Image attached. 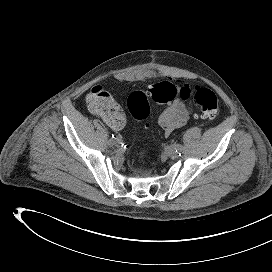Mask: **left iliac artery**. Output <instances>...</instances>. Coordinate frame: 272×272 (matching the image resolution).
<instances>
[{
    "label": "left iliac artery",
    "mask_w": 272,
    "mask_h": 272,
    "mask_svg": "<svg viewBox=\"0 0 272 272\" xmlns=\"http://www.w3.org/2000/svg\"><path fill=\"white\" fill-rule=\"evenodd\" d=\"M174 149L180 154L183 150V146L181 144H174Z\"/></svg>",
    "instance_id": "obj_1"
}]
</instances>
